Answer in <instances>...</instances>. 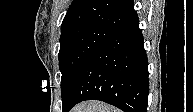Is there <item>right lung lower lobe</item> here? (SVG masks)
<instances>
[{
    "instance_id": "98d812e1",
    "label": "right lung lower lobe",
    "mask_w": 193,
    "mask_h": 112,
    "mask_svg": "<svg viewBox=\"0 0 193 112\" xmlns=\"http://www.w3.org/2000/svg\"><path fill=\"white\" fill-rule=\"evenodd\" d=\"M148 94V60L137 17L89 57L62 104V112L90 99L107 102L124 112H147Z\"/></svg>"
}]
</instances>
